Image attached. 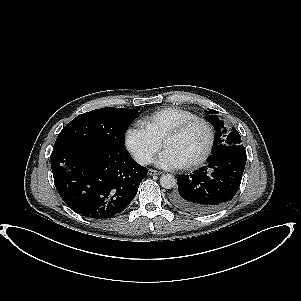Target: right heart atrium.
<instances>
[{
	"label": "right heart atrium",
	"mask_w": 301,
	"mask_h": 301,
	"mask_svg": "<svg viewBox=\"0 0 301 301\" xmlns=\"http://www.w3.org/2000/svg\"><path fill=\"white\" fill-rule=\"evenodd\" d=\"M127 149L142 164H148L161 148V143L145 128L130 127L125 133Z\"/></svg>",
	"instance_id": "obj_1"
}]
</instances>
